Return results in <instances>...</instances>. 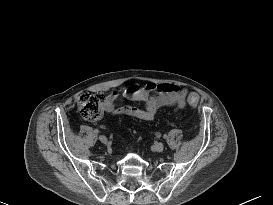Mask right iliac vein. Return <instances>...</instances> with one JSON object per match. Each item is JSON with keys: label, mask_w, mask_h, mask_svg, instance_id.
Wrapping results in <instances>:
<instances>
[{"label": "right iliac vein", "mask_w": 273, "mask_h": 205, "mask_svg": "<svg viewBox=\"0 0 273 205\" xmlns=\"http://www.w3.org/2000/svg\"><path fill=\"white\" fill-rule=\"evenodd\" d=\"M99 140L103 143L106 144L107 143V138L104 135L99 136Z\"/></svg>", "instance_id": "right-iliac-vein-1"}]
</instances>
